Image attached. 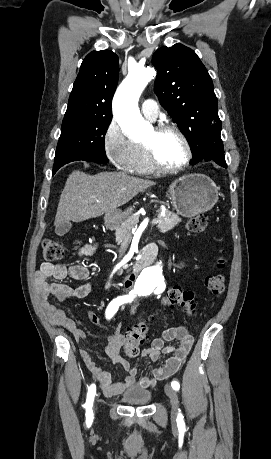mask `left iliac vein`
Returning <instances> with one entry per match:
<instances>
[{
	"label": "left iliac vein",
	"mask_w": 271,
	"mask_h": 459,
	"mask_svg": "<svg viewBox=\"0 0 271 459\" xmlns=\"http://www.w3.org/2000/svg\"><path fill=\"white\" fill-rule=\"evenodd\" d=\"M166 395L170 399L171 403V415L175 416L178 413L179 410V401H178V396L175 392V390L168 384L165 385L164 387Z\"/></svg>",
	"instance_id": "left-iliac-vein-1"
}]
</instances>
